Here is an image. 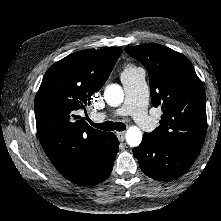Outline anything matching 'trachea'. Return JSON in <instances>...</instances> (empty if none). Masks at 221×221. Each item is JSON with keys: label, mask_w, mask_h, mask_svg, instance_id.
Listing matches in <instances>:
<instances>
[{"label": "trachea", "mask_w": 221, "mask_h": 221, "mask_svg": "<svg viewBox=\"0 0 221 221\" xmlns=\"http://www.w3.org/2000/svg\"><path fill=\"white\" fill-rule=\"evenodd\" d=\"M88 122L93 127L100 129V130H105V131H113V130L124 131L126 128L125 124L121 122L106 121V122L97 124L91 121L90 119H88Z\"/></svg>", "instance_id": "3493384b"}]
</instances>
